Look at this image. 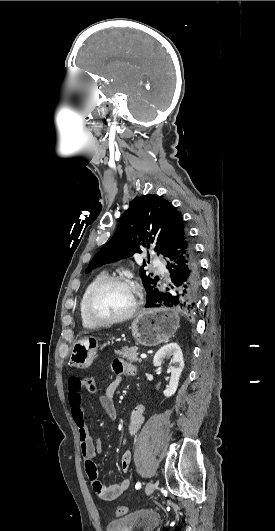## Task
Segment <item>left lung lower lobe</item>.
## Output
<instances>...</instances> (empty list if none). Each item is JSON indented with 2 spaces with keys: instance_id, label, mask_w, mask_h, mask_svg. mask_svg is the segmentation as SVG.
<instances>
[{
  "instance_id": "1",
  "label": "left lung lower lobe",
  "mask_w": 275,
  "mask_h": 531,
  "mask_svg": "<svg viewBox=\"0 0 275 531\" xmlns=\"http://www.w3.org/2000/svg\"><path fill=\"white\" fill-rule=\"evenodd\" d=\"M166 257L171 283L151 303H146V307H174L193 316L200 298V266L185 227L177 233Z\"/></svg>"
}]
</instances>
